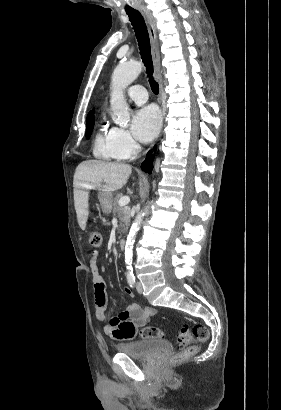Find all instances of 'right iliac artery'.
Here are the masks:
<instances>
[{
    "mask_svg": "<svg viewBox=\"0 0 281 410\" xmlns=\"http://www.w3.org/2000/svg\"><path fill=\"white\" fill-rule=\"evenodd\" d=\"M127 281H128V283L131 287H134L135 283H136L134 274H128L127 275Z\"/></svg>",
    "mask_w": 281,
    "mask_h": 410,
    "instance_id": "1",
    "label": "right iliac artery"
}]
</instances>
